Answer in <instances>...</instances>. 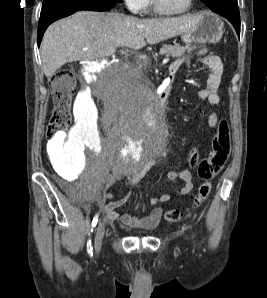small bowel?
I'll use <instances>...</instances> for the list:
<instances>
[{
	"label": "small bowel",
	"instance_id": "obj_1",
	"mask_svg": "<svg viewBox=\"0 0 267 298\" xmlns=\"http://www.w3.org/2000/svg\"><path fill=\"white\" fill-rule=\"evenodd\" d=\"M198 57L201 62L209 69V74L205 81V86L197 92V97L200 100L207 101L211 105H218L220 103V84L223 73V64L221 59L208 50L203 49L198 53ZM188 63V58L181 57L173 61L170 65V71L175 74L183 65ZM207 124L210 127H218L220 120L216 113H210L207 115ZM57 139H68L71 146H77L75 136H65L60 133ZM143 172H136L129 176V181L132 185L138 184L142 177ZM168 178L180 179L183 181V186L176 192L177 196H183L189 194L193 189V182L191 174L186 170H171L167 174ZM130 195L125 196L122 199L114 200V195L108 190H102L100 192H92L88 194L87 198L96 202L109 222H115L120 220L122 225L132 229L152 230L156 228L161 220L162 207L161 205L171 200V194L164 193L159 197L149 199V204L154 206L152 211L144 217H135L129 213L119 214L117 209L124 205Z\"/></svg>",
	"mask_w": 267,
	"mask_h": 298
}]
</instances>
